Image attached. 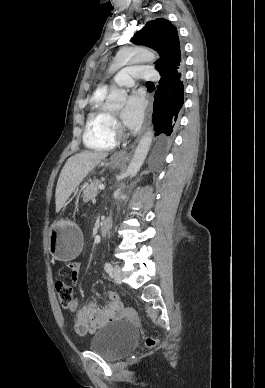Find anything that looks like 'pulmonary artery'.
<instances>
[{
    "mask_svg": "<svg viewBox=\"0 0 265 388\" xmlns=\"http://www.w3.org/2000/svg\"><path fill=\"white\" fill-rule=\"evenodd\" d=\"M153 70V64H126L125 69H120V75L114 76L113 80L117 81L118 86H132V83L139 82V79L153 82L160 77V74L153 72ZM110 81V79H107L105 84L110 86Z\"/></svg>",
    "mask_w": 265,
    "mask_h": 388,
    "instance_id": "e3ab8cb5",
    "label": "pulmonary artery"
}]
</instances>
